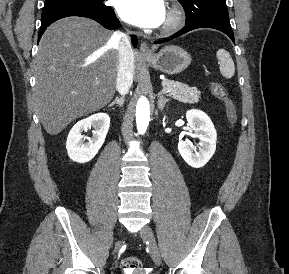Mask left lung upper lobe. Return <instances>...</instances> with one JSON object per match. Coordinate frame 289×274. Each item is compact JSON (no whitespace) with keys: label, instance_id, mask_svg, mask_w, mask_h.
I'll use <instances>...</instances> for the list:
<instances>
[{"label":"left lung upper lobe","instance_id":"obj_1","mask_svg":"<svg viewBox=\"0 0 289 274\" xmlns=\"http://www.w3.org/2000/svg\"><path fill=\"white\" fill-rule=\"evenodd\" d=\"M186 14V25L207 18L229 20L225 0H178Z\"/></svg>","mask_w":289,"mask_h":274}]
</instances>
